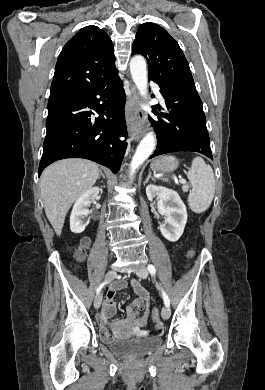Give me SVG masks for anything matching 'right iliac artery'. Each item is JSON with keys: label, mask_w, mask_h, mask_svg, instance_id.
Segmentation results:
<instances>
[{"label": "right iliac artery", "mask_w": 265, "mask_h": 390, "mask_svg": "<svg viewBox=\"0 0 265 390\" xmlns=\"http://www.w3.org/2000/svg\"><path fill=\"white\" fill-rule=\"evenodd\" d=\"M108 282L107 281H104V282H102L100 285H99V287L97 288V294L101 291V289L103 288V286L105 285V284H107Z\"/></svg>", "instance_id": "82829eb1"}]
</instances>
